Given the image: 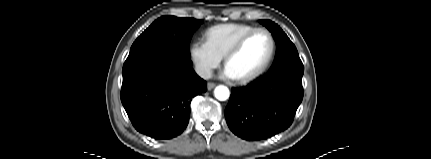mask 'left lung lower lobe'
Segmentation results:
<instances>
[{
	"label": "left lung lower lobe",
	"mask_w": 431,
	"mask_h": 159,
	"mask_svg": "<svg viewBox=\"0 0 431 159\" xmlns=\"http://www.w3.org/2000/svg\"><path fill=\"white\" fill-rule=\"evenodd\" d=\"M303 71L304 67L282 66L247 86L232 88L225 109L230 130L248 141L286 130L303 99Z\"/></svg>",
	"instance_id": "0a47b994"
}]
</instances>
